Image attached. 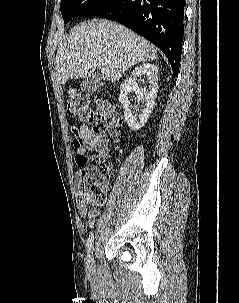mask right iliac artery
<instances>
[{"label":"right iliac artery","instance_id":"obj_1","mask_svg":"<svg viewBox=\"0 0 239 303\" xmlns=\"http://www.w3.org/2000/svg\"><path fill=\"white\" fill-rule=\"evenodd\" d=\"M93 242H94V235L91 233L87 239L86 247L87 251L90 252L92 247H93Z\"/></svg>","mask_w":239,"mask_h":303}]
</instances>
